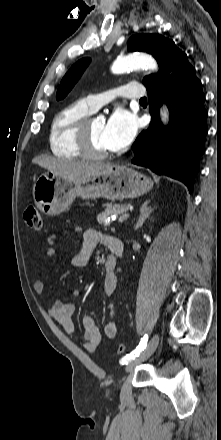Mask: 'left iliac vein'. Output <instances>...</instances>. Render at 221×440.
<instances>
[{
	"mask_svg": "<svg viewBox=\"0 0 221 440\" xmlns=\"http://www.w3.org/2000/svg\"><path fill=\"white\" fill-rule=\"evenodd\" d=\"M158 343L159 335L155 334L147 344L146 348L140 353V355L135 360L130 361L127 364L126 371H132L138 364L148 359L156 350Z\"/></svg>",
	"mask_w": 221,
	"mask_h": 440,
	"instance_id": "left-iliac-vein-1",
	"label": "left iliac vein"
}]
</instances>
